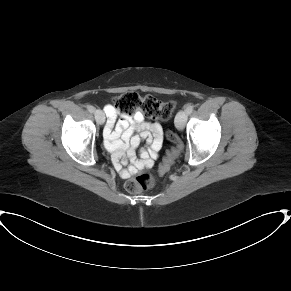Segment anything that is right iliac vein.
<instances>
[{
    "instance_id": "63e3f726",
    "label": "right iliac vein",
    "mask_w": 291,
    "mask_h": 291,
    "mask_svg": "<svg viewBox=\"0 0 291 291\" xmlns=\"http://www.w3.org/2000/svg\"><path fill=\"white\" fill-rule=\"evenodd\" d=\"M94 115H95V119H96L98 124L102 125L105 122L104 113L100 109H97L95 111Z\"/></svg>"
}]
</instances>
